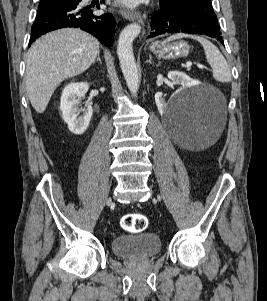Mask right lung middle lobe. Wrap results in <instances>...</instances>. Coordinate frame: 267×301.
<instances>
[{
	"mask_svg": "<svg viewBox=\"0 0 267 301\" xmlns=\"http://www.w3.org/2000/svg\"><path fill=\"white\" fill-rule=\"evenodd\" d=\"M68 0H41L38 7V12L50 9L57 5H60Z\"/></svg>",
	"mask_w": 267,
	"mask_h": 301,
	"instance_id": "1",
	"label": "right lung middle lobe"
}]
</instances>
